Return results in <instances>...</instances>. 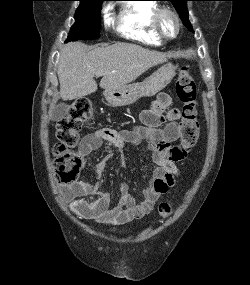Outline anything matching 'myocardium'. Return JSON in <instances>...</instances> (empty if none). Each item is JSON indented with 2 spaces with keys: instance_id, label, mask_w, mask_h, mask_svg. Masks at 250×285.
Listing matches in <instances>:
<instances>
[{
  "instance_id": "1",
  "label": "myocardium",
  "mask_w": 250,
  "mask_h": 285,
  "mask_svg": "<svg viewBox=\"0 0 250 285\" xmlns=\"http://www.w3.org/2000/svg\"><path fill=\"white\" fill-rule=\"evenodd\" d=\"M170 16L174 19L175 23H176V31L172 36H168L166 35L163 30H162V19L164 16ZM152 29L154 34L161 40V41H169V40H173L175 39L181 30V20L179 15L172 10L171 8L168 7H160L156 10V12L154 13L153 17H152Z\"/></svg>"
}]
</instances>
